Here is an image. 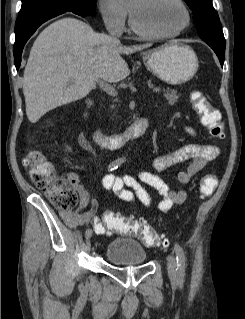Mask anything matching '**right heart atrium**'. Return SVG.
<instances>
[{"label":"right heart atrium","mask_w":245,"mask_h":319,"mask_svg":"<svg viewBox=\"0 0 245 319\" xmlns=\"http://www.w3.org/2000/svg\"><path fill=\"white\" fill-rule=\"evenodd\" d=\"M102 20L108 30L115 34L125 31L128 19L126 7L118 0H98Z\"/></svg>","instance_id":"d8ad5b80"}]
</instances>
